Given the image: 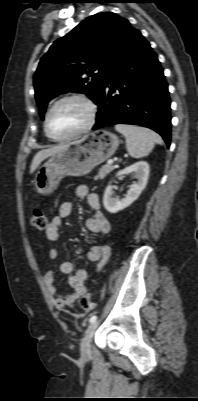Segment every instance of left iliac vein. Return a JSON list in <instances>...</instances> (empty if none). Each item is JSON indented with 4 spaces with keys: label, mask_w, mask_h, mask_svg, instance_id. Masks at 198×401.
Listing matches in <instances>:
<instances>
[{
    "label": "left iliac vein",
    "mask_w": 198,
    "mask_h": 401,
    "mask_svg": "<svg viewBox=\"0 0 198 401\" xmlns=\"http://www.w3.org/2000/svg\"><path fill=\"white\" fill-rule=\"evenodd\" d=\"M99 325L98 321L92 322L86 329L84 337L81 341V355L83 358H87L91 352V339Z\"/></svg>",
    "instance_id": "4c4485c4"
}]
</instances>
